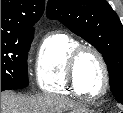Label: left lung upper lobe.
<instances>
[{
    "label": "left lung upper lobe",
    "mask_w": 123,
    "mask_h": 113,
    "mask_svg": "<svg viewBox=\"0 0 123 113\" xmlns=\"http://www.w3.org/2000/svg\"><path fill=\"white\" fill-rule=\"evenodd\" d=\"M46 15L58 19L103 56L110 88L123 104V26L106 0H49Z\"/></svg>",
    "instance_id": "5c2ea615"
}]
</instances>
